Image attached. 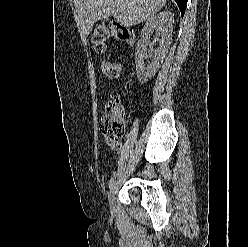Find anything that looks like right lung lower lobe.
<instances>
[{"mask_svg":"<svg viewBox=\"0 0 248 247\" xmlns=\"http://www.w3.org/2000/svg\"><path fill=\"white\" fill-rule=\"evenodd\" d=\"M175 2L177 3L181 11V15L183 16L185 13L186 6H187V0H175Z\"/></svg>","mask_w":248,"mask_h":247,"instance_id":"98d812e1","label":"right lung lower lobe"}]
</instances>
